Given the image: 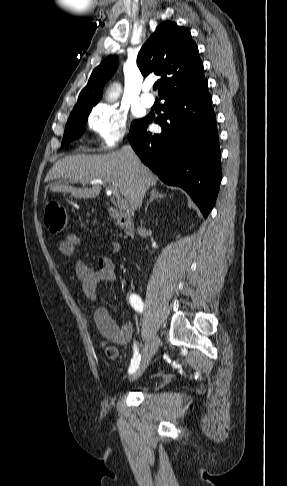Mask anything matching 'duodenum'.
I'll return each mask as SVG.
<instances>
[{
	"instance_id": "obj_1",
	"label": "duodenum",
	"mask_w": 287,
	"mask_h": 486,
	"mask_svg": "<svg viewBox=\"0 0 287 486\" xmlns=\"http://www.w3.org/2000/svg\"><path fill=\"white\" fill-rule=\"evenodd\" d=\"M107 211L109 215L117 221L120 229L126 236L131 237L134 235V225L127 214L115 209L112 206H108Z\"/></svg>"
}]
</instances>
